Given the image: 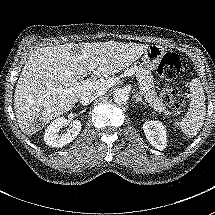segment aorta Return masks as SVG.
<instances>
[{
    "label": "aorta",
    "mask_w": 215,
    "mask_h": 215,
    "mask_svg": "<svg viewBox=\"0 0 215 215\" xmlns=\"http://www.w3.org/2000/svg\"><path fill=\"white\" fill-rule=\"evenodd\" d=\"M113 99L118 104L126 103L129 99V93L125 89H117L114 91Z\"/></svg>",
    "instance_id": "1"
}]
</instances>
